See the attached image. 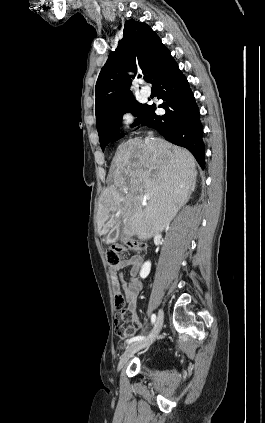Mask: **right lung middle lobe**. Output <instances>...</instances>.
<instances>
[{
    "mask_svg": "<svg viewBox=\"0 0 265 423\" xmlns=\"http://www.w3.org/2000/svg\"><path fill=\"white\" fill-rule=\"evenodd\" d=\"M148 107V105L140 104L134 97H131L119 104L100 123L96 124L102 150L104 151L108 143L123 137V134L119 133V128L124 113L132 112L134 116H138L133 124V126H136L144 119Z\"/></svg>",
    "mask_w": 265,
    "mask_h": 423,
    "instance_id": "dd1d6c3e",
    "label": "right lung middle lobe"
}]
</instances>
